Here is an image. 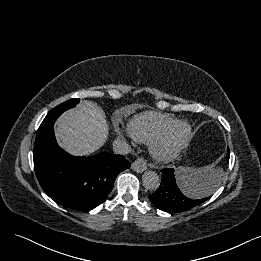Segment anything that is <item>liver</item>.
Segmentation results:
<instances>
[{
	"label": "liver",
	"instance_id": "liver-1",
	"mask_svg": "<svg viewBox=\"0 0 261 261\" xmlns=\"http://www.w3.org/2000/svg\"><path fill=\"white\" fill-rule=\"evenodd\" d=\"M55 131L65 151L88 156L104 145L109 127L101 107L85 100L59 117Z\"/></svg>",
	"mask_w": 261,
	"mask_h": 261
}]
</instances>
